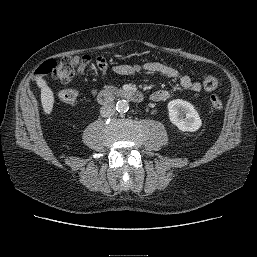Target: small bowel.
Here are the masks:
<instances>
[{"mask_svg":"<svg viewBox=\"0 0 257 257\" xmlns=\"http://www.w3.org/2000/svg\"><path fill=\"white\" fill-rule=\"evenodd\" d=\"M98 66L100 69L101 77H104L107 67L106 61L103 59H99ZM113 70L120 75H131L137 71L145 70L147 72L160 74L171 79H178L180 86L186 90H190L192 92H200L202 89V84L200 82L193 81L187 75H180L179 71L175 68L162 64L160 62H145L142 64H120L115 65L113 67ZM169 97L170 93L168 90L160 89L153 92L150 98L154 102H161L167 100Z\"/></svg>","mask_w":257,"mask_h":257,"instance_id":"c3829d8e","label":"small bowel"}]
</instances>
